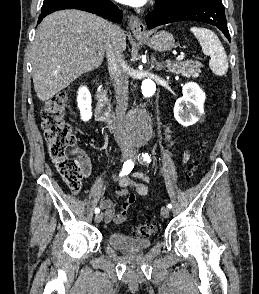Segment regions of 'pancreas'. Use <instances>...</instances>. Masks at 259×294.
I'll return each instance as SVG.
<instances>
[{
    "instance_id": "cf45deb5",
    "label": "pancreas",
    "mask_w": 259,
    "mask_h": 294,
    "mask_svg": "<svg viewBox=\"0 0 259 294\" xmlns=\"http://www.w3.org/2000/svg\"><path fill=\"white\" fill-rule=\"evenodd\" d=\"M167 67L175 74H181L187 78H197L201 73L203 65L198 61H183L176 64L168 63Z\"/></svg>"
}]
</instances>
